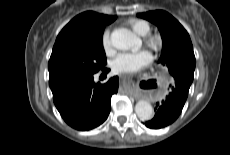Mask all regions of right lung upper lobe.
Instances as JSON below:
<instances>
[{
	"mask_svg": "<svg viewBox=\"0 0 230 155\" xmlns=\"http://www.w3.org/2000/svg\"><path fill=\"white\" fill-rule=\"evenodd\" d=\"M117 17L87 11L73 18L59 33L54 47L69 43H92L100 40L106 25Z\"/></svg>",
	"mask_w": 230,
	"mask_h": 155,
	"instance_id": "right-lung-upper-lobe-1",
	"label": "right lung upper lobe"
}]
</instances>
